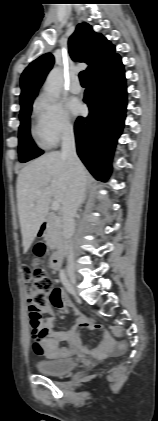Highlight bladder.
Listing matches in <instances>:
<instances>
[{
    "instance_id": "obj_1",
    "label": "bladder",
    "mask_w": 158,
    "mask_h": 421,
    "mask_svg": "<svg viewBox=\"0 0 158 421\" xmlns=\"http://www.w3.org/2000/svg\"><path fill=\"white\" fill-rule=\"evenodd\" d=\"M75 366V359L67 356L56 359H41L36 362L38 372L50 376L66 374L73 370Z\"/></svg>"
}]
</instances>
